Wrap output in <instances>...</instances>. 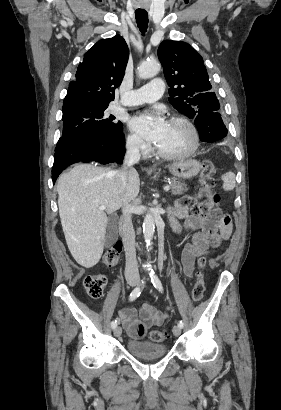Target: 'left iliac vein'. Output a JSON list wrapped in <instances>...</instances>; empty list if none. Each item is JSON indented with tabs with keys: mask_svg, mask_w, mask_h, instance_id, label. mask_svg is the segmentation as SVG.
<instances>
[{
	"mask_svg": "<svg viewBox=\"0 0 281 410\" xmlns=\"http://www.w3.org/2000/svg\"><path fill=\"white\" fill-rule=\"evenodd\" d=\"M173 334H174L175 336H179V335L181 334V328H180L178 325H175V326L173 327Z\"/></svg>",
	"mask_w": 281,
	"mask_h": 410,
	"instance_id": "left-iliac-vein-1",
	"label": "left iliac vein"
}]
</instances>
